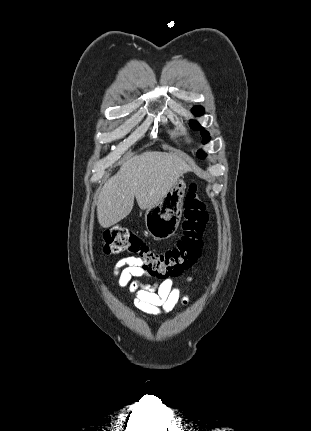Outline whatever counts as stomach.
<instances>
[{"label":"stomach","mask_w":311,"mask_h":431,"mask_svg":"<svg viewBox=\"0 0 311 431\" xmlns=\"http://www.w3.org/2000/svg\"><path fill=\"white\" fill-rule=\"evenodd\" d=\"M185 190L186 184L183 178H179L160 202L146 210V229L154 239H167L177 231L183 214Z\"/></svg>","instance_id":"stomach-1"}]
</instances>
